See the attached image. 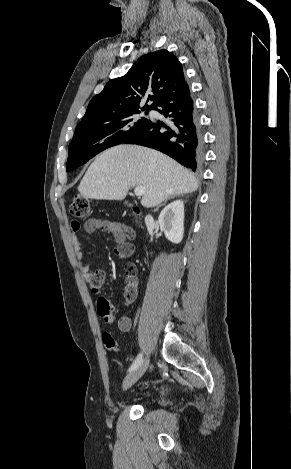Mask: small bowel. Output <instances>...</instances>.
<instances>
[{
  "label": "small bowel",
  "mask_w": 291,
  "mask_h": 469,
  "mask_svg": "<svg viewBox=\"0 0 291 469\" xmlns=\"http://www.w3.org/2000/svg\"><path fill=\"white\" fill-rule=\"evenodd\" d=\"M71 228L74 232V234L72 235V244H73V249H74L78 267L80 271L82 272L84 280L89 284L90 288L94 292L99 293L101 287L103 286L106 280L107 272L103 268L92 270L90 268L89 263L84 261L83 247H82L80 238L77 235V232L81 229V225L79 222L73 221L71 223ZM84 229L88 233H93L95 231L102 230L106 233L112 234L118 243L116 247V253H117L118 247L125 244L124 239H125L127 230L125 229L124 226H122L121 224L117 222L101 220L98 218H92L86 222V224L84 225ZM128 256L129 255L120 256V257L125 258ZM124 296H125L126 301L130 300L128 290H127V282H126V289H125ZM136 296H137V291L135 292L134 296L132 297L130 301H133L136 298ZM118 328L122 332H128L131 329V320L128 317H121L118 320Z\"/></svg>",
  "instance_id": "c3829d8e"
}]
</instances>
